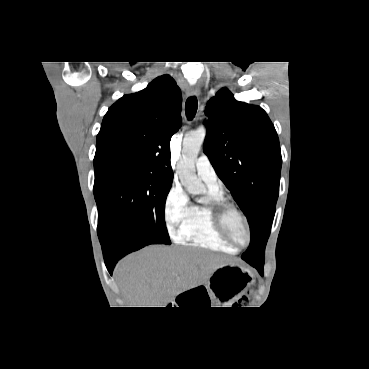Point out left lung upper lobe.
<instances>
[{"label": "left lung upper lobe", "instance_id": "5c2ea615", "mask_svg": "<svg viewBox=\"0 0 369 369\" xmlns=\"http://www.w3.org/2000/svg\"><path fill=\"white\" fill-rule=\"evenodd\" d=\"M205 113L204 152L250 226L242 259L264 262L282 164L276 130L261 107L237 101L226 88L210 99Z\"/></svg>", "mask_w": 369, "mask_h": 369}]
</instances>
